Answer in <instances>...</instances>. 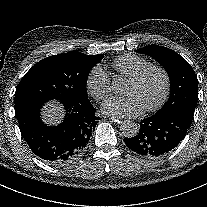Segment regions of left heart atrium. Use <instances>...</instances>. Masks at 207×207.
Returning <instances> with one entry per match:
<instances>
[{
    "mask_svg": "<svg viewBox=\"0 0 207 207\" xmlns=\"http://www.w3.org/2000/svg\"><path fill=\"white\" fill-rule=\"evenodd\" d=\"M102 108L105 113L119 118H133L143 112L137 100L132 96L112 97L103 103Z\"/></svg>",
    "mask_w": 207,
    "mask_h": 207,
    "instance_id": "obj_1",
    "label": "left heart atrium"
}]
</instances>
